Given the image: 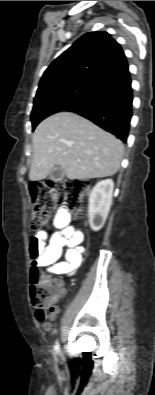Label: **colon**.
Returning <instances> with one entry per match:
<instances>
[{"mask_svg": "<svg viewBox=\"0 0 155 395\" xmlns=\"http://www.w3.org/2000/svg\"><path fill=\"white\" fill-rule=\"evenodd\" d=\"M90 190V182L84 179H63L47 182H35L30 185L31 226L41 229L48 221L61 200L67 212L79 214L85 196ZM59 282L43 270H31L30 300L38 310H54L60 300Z\"/></svg>", "mask_w": 155, "mask_h": 395, "instance_id": "obj_1", "label": "colon"}]
</instances>
